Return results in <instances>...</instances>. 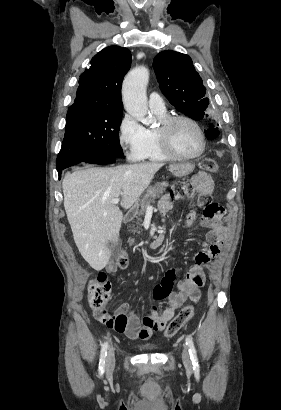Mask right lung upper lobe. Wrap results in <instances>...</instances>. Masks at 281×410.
<instances>
[{
	"mask_svg": "<svg viewBox=\"0 0 281 410\" xmlns=\"http://www.w3.org/2000/svg\"><path fill=\"white\" fill-rule=\"evenodd\" d=\"M131 66L127 48L109 46L91 60V67L80 76L76 99L72 106L86 105L122 110L121 86Z\"/></svg>",
	"mask_w": 281,
	"mask_h": 410,
	"instance_id": "right-lung-upper-lobe-1",
	"label": "right lung upper lobe"
}]
</instances>
